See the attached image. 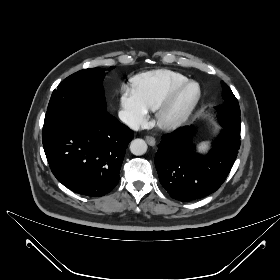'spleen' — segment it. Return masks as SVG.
<instances>
[{
  "label": "spleen",
  "instance_id": "obj_1",
  "mask_svg": "<svg viewBox=\"0 0 280 280\" xmlns=\"http://www.w3.org/2000/svg\"><path fill=\"white\" fill-rule=\"evenodd\" d=\"M209 147V142H202L198 145V149L200 152H205Z\"/></svg>",
  "mask_w": 280,
  "mask_h": 280
}]
</instances>
